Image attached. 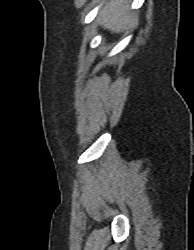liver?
I'll return each instance as SVG.
<instances>
[{
	"label": "liver",
	"mask_w": 194,
	"mask_h": 250,
	"mask_svg": "<svg viewBox=\"0 0 194 250\" xmlns=\"http://www.w3.org/2000/svg\"><path fill=\"white\" fill-rule=\"evenodd\" d=\"M130 0H111L98 15L99 23L112 32L119 33L135 21L129 12Z\"/></svg>",
	"instance_id": "obj_1"
}]
</instances>
